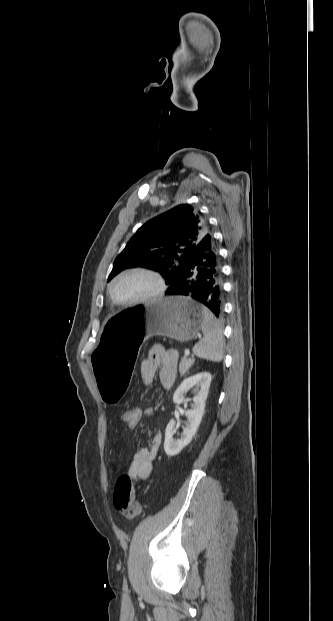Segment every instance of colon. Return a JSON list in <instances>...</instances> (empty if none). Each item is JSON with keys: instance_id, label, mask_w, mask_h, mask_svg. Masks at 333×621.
<instances>
[{"instance_id": "obj_1", "label": "colon", "mask_w": 333, "mask_h": 621, "mask_svg": "<svg viewBox=\"0 0 333 621\" xmlns=\"http://www.w3.org/2000/svg\"><path fill=\"white\" fill-rule=\"evenodd\" d=\"M142 416L143 412L140 408H128L122 414L123 421L131 429L140 424ZM114 506L128 519H133L140 513V506L135 499L133 482L127 474L121 475L116 481Z\"/></svg>"}]
</instances>
